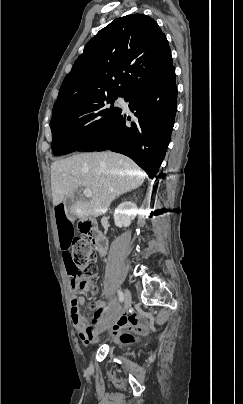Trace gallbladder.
Listing matches in <instances>:
<instances>
[{
    "instance_id": "obj_1",
    "label": "gallbladder",
    "mask_w": 243,
    "mask_h": 404,
    "mask_svg": "<svg viewBox=\"0 0 243 404\" xmlns=\"http://www.w3.org/2000/svg\"><path fill=\"white\" fill-rule=\"evenodd\" d=\"M65 211L67 213V217L70 219H73L75 217V214L73 213L74 207L76 205V202L74 201V195L68 196L66 198L65 202Z\"/></svg>"
}]
</instances>
